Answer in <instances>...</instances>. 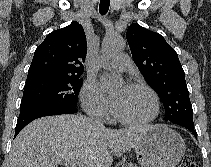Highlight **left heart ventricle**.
Segmentation results:
<instances>
[{
    "instance_id": "1",
    "label": "left heart ventricle",
    "mask_w": 211,
    "mask_h": 167,
    "mask_svg": "<svg viewBox=\"0 0 211 167\" xmlns=\"http://www.w3.org/2000/svg\"><path fill=\"white\" fill-rule=\"evenodd\" d=\"M153 111V99L148 92L127 87L121 104L116 112L126 119L144 120L150 117Z\"/></svg>"
}]
</instances>
